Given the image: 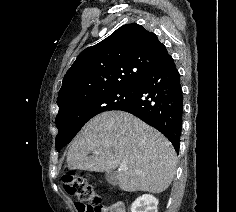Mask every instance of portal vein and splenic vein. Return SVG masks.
Returning a JSON list of instances; mask_svg holds the SVG:
<instances>
[{
  "instance_id": "1",
  "label": "portal vein and splenic vein",
  "mask_w": 236,
  "mask_h": 212,
  "mask_svg": "<svg viewBox=\"0 0 236 212\" xmlns=\"http://www.w3.org/2000/svg\"><path fill=\"white\" fill-rule=\"evenodd\" d=\"M128 168L126 167V165L122 164L119 166V170L120 171H126Z\"/></svg>"
}]
</instances>
